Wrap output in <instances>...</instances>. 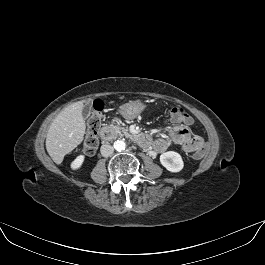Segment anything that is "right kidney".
Segmentation results:
<instances>
[{
	"instance_id": "right-kidney-1",
	"label": "right kidney",
	"mask_w": 265,
	"mask_h": 265,
	"mask_svg": "<svg viewBox=\"0 0 265 265\" xmlns=\"http://www.w3.org/2000/svg\"><path fill=\"white\" fill-rule=\"evenodd\" d=\"M84 155H79L78 157H76V159L71 163V169L73 170H77L79 169L83 162H84Z\"/></svg>"
}]
</instances>
